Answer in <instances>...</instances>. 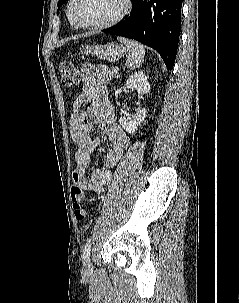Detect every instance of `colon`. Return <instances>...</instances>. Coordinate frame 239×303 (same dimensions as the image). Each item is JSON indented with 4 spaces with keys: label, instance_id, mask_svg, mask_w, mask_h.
<instances>
[{
    "label": "colon",
    "instance_id": "5ec220e1",
    "mask_svg": "<svg viewBox=\"0 0 239 303\" xmlns=\"http://www.w3.org/2000/svg\"><path fill=\"white\" fill-rule=\"evenodd\" d=\"M59 71L62 84L66 87L73 86L79 82V72L75 65L69 61L60 63ZM71 198L73 201L74 214L78 221H86V211L82 206L84 194L81 187L74 185L71 188Z\"/></svg>",
    "mask_w": 239,
    "mask_h": 303
}]
</instances>
